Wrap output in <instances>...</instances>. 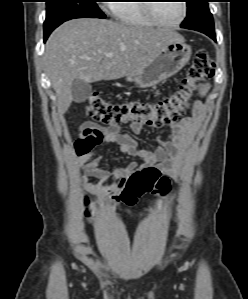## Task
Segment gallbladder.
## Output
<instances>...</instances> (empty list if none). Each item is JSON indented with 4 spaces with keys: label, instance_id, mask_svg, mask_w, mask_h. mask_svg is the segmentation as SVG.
Here are the masks:
<instances>
[{
    "label": "gallbladder",
    "instance_id": "gallbladder-1",
    "mask_svg": "<svg viewBox=\"0 0 248 299\" xmlns=\"http://www.w3.org/2000/svg\"><path fill=\"white\" fill-rule=\"evenodd\" d=\"M92 87L83 80L75 79L71 85L73 100L76 103H82L87 100L91 93Z\"/></svg>",
    "mask_w": 248,
    "mask_h": 299
}]
</instances>
